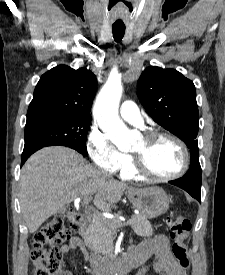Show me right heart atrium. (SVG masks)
<instances>
[{"label":"right heart atrium","instance_id":"right-heart-atrium-1","mask_svg":"<svg viewBox=\"0 0 225 275\" xmlns=\"http://www.w3.org/2000/svg\"><path fill=\"white\" fill-rule=\"evenodd\" d=\"M88 153L98 169L111 173L119 171L127 162V155L121 152L108 135L93 126L87 139Z\"/></svg>","mask_w":225,"mask_h":275}]
</instances>
